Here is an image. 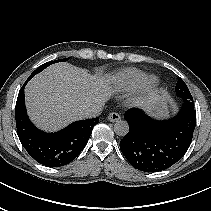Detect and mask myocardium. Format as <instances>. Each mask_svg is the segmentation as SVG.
Instances as JSON below:
<instances>
[{
	"label": "myocardium",
	"instance_id": "1",
	"mask_svg": "<svg viewBox=\"0 0 211 211\" xmlns=\"http://www.w3.org/2000/svg\"><path fill=\"white\" fill-rule=\"evenodd\" d=\"M159 78L156 75H148L144 77L142 83L139 86V92L136 97L137 101H142L150 96L158 87Z\"/></svg>",
	"mask_w": 211,
	"mask_h": 211
}]
</instances>
